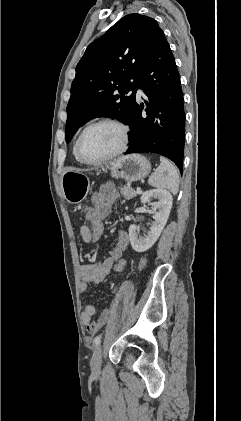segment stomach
<instances>
[{
	"instance_id": "stomach-1",
	"label": "stomach",
	"mask_w": 241,
	"mask_h": 421,
	"mask_svg": "<svg viewBox=\"0 0 241 421\" xmlns=\"http://www.w3.org/2000/svg\"><path fill=\"white\" fill-rule=\"evenodd\" d=\"M108 169L116 178L127 181H139L146 178L150 171V162L140 154H130L114 159ZM63 196L71 204L82 202L90 189L88 176L78 169H67L61 177Z\"/></svg>"
}]
</instances>
